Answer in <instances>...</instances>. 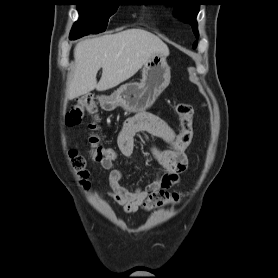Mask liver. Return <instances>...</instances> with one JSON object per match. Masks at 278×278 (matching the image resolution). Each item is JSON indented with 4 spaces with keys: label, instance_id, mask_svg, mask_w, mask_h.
I'll return each mask as SVG.
<instances>
[{
    "label": "liver",
    "instance_id": "6515ba94",
    "mask_svg": "<svg viewBox=\"0 0 278 278\" xmlns=\"http://www.w3.org/2000/svg\"><path fill=\"white\" fill-rule=\"evenodd\" d=\"M157 53L169 54L167 45L142 29H128L81 41L74 49L75 70L66 98L75 99L94 89L114 88L135 75ZM100 68L102 76L97 83Z\"/></svg>",
    "mask_w": 278,
    "mask_h": 278
}]
</instances>
